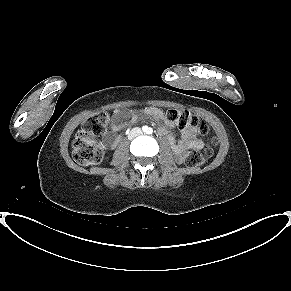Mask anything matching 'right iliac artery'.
<instances>
[{
  "label": "right iliac artery",
  "instance_id": "82829eb1",
  "mask_svg": "<svg viewBox=\"0 0 291 291\" xmlns=\"http://www.w3.org/2000/svg\"><path fill=\"white\" fill-rule=\"evenodd\" d=\"M142 129H143V131H145L147 128H146V126H143Z\"/></svg>",
  "mask_w": 291,
  "mask_h": 291
}]
</instances>
